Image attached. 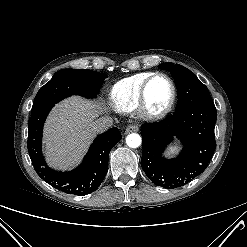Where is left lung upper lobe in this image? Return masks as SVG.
I'll return each mask as SVG.
<instances>
[{"label":"left lung upper lobe","instance_id":"obj_1","mask_svg":"<svg viewBox=\"0 0 247 247\" xmlns=\"http://www.w3.org/2000/svg\"><path fill=\"white\" fill-rule=\"evenodd\" d=\"M160 67L171 71L175 78L178 89V103L175 112L193 105L213 102L208 88L189 69L179 64L173 66L171 62L162 63Z\"/></svg>","mask_w":247,"mask_h":247}]
</instances>
